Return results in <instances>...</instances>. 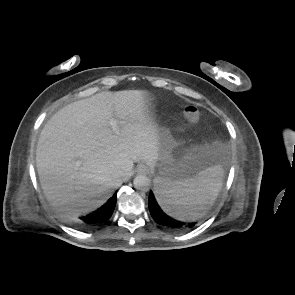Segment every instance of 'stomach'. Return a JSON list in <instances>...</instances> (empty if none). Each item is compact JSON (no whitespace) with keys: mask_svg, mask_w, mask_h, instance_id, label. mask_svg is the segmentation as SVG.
Wrapping results in <instances>:
<instances>
[{"mask_svg":"<svg viewBox=\"0 0 295 295\" xmlns=\"http://www.w3.org/2000/svg\"><path fill=\"white\" fill-rule=\"evenodd\" d=\"M158 133L161 142L156 162L158 176L169 180L195 178L201 171L212 167L213 162L205 159L204 148H184L163 126L158 127Z\"/></svg>","mask_w":295,"mask_h":295,"instance_id":"1","label":"stomach"}]
</instances>
